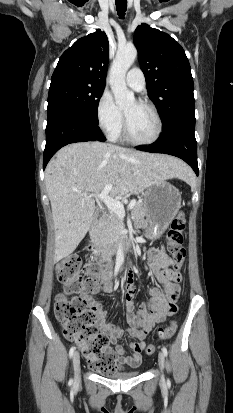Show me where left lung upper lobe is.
Instances as JSON below:
<instances>
[{"label": "left lung upper lobe", "mask_w": 233, "mask_h": 413, "mask_svg": "<svg viewBox=\"0 0 233 413\" xmlns=\"http://www.w3.org/2000/svg\"><path fill=\"white\" fill-rule=\"evenodd\" d=\"M134 43L152 101L163 128L178 119L195 121L194 85L186 54L170 35L147 24L137 27Z\"/></svg>", "instance_id": "obj_1"}]
</instances>
